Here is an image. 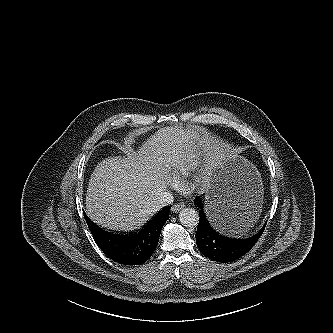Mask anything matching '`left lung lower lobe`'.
I'll return each mask as SVG.
<instances>
[{"instance_id":"obj_1","label":"left lung lower lobe","mask_w":333,"mask_h":333,"mask_svg":"<svg viewBox=\"0 0 333 333\" xmlns=\"http://www.w3.org/2000/svg\"><path fill=\"white\" fill-rule=\"evenodd\" d=\"M194 203L200 208L199 223L195 235L196 244L200 252L213 261L227 263L240 258L255 245L265 229L264 225L257 234L248 239L223 236L209 224L199 196L194 199Z\"/></svg>"}]
</instances>
